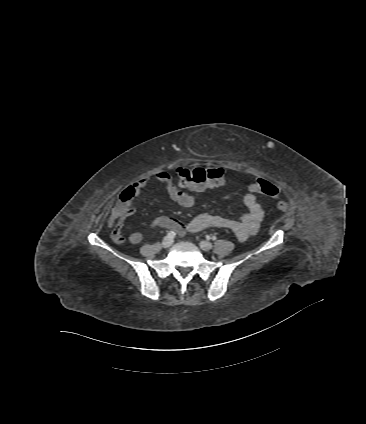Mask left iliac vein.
Here are the masks:
<instances>
[{
	"label": "left iliac vein",
	"mask_w": 366,
	"mask_h": 424,
	"mask_svg": "<svg viewBox=\"0 0 366 424\" xmlns=\"http://www.w3.org/2000/svg\"><path fill=\"white\" fill-rule=\"evenodd\" d=\"M199 245H200L201 249L204 250V251H209L213 247L212 243L209 242V241H200Z\"/></svg>",
	"instance_id": "1"
}]
</instances>
